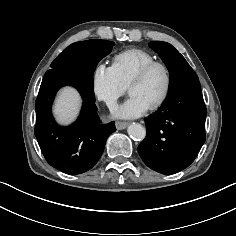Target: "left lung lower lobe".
Segmentation results:
<instances>
[{"instance_id":"0a47b994","label":"left lung lower lobe","mask_w":236,"mask_h":236,"mask_svg":"<svg viewBox=\"0 0 236 236\" xmlns=\"http://www.w3.org/2000/svg\"><path fill=\"white\" fill-rule=\"evenodd\" d=\"M206 115L198 79L176 86L160 109L144 120L146 138L138 147L144 163L162 174L188 167L206 140Z\"/></svg>"}]
</instances>
